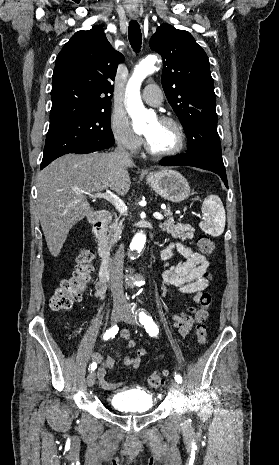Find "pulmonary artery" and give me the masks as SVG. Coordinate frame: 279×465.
<instances>
[{"label": "pulmonary artery", "mask_w": 279, "mask_h": 465, "mask_svg": "<svg viewBox=\"0 0 279 465\" xmlns=\"http://www.w3.org/2000/svg\"><path fill=\"white\" fill-rule=\"evenodd\" d=\"M143 100L153 106H159L163 101V95L159 87L155 84L147 85L142 94Z\"/></svg>", "instance_id": "pulmonary-artery-1"}]
</instances>
